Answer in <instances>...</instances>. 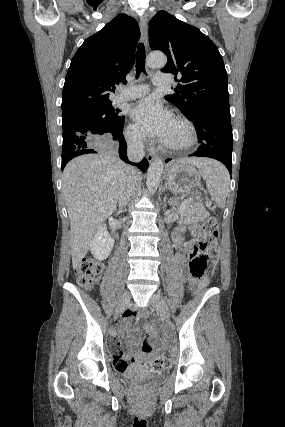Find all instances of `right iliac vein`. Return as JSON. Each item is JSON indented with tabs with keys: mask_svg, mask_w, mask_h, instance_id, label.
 I'll use <instances>...</instances> for the list:
<instances>
[{
	"mask_svg": "<svg viewBox=\"0 0 285 427\" xmlns=\"http://www.w3.org/2000/svg\"><path fill=\"white\" fill-rule=\"evenodd\" d=\"M129 301H130V294L128 291H126L123 293V295L120 299V302H119V305H118V308H117V311L115 314V318H117L126 309V307L129 304Z\"/></svg>",
	"mask_w": 285,
	"mask_h": 427,
	"instance_id": "right-iliac-vein-1",
	"label": "right iliac vein"
}]
</instances>
